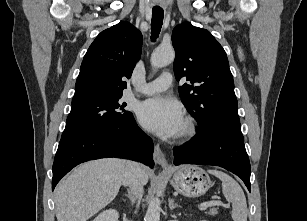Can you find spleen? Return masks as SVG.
I'll return each instance as SVG.
<instances>
[{"mask_svg":"<svg viewBox=\"0 0 307 221\" xmlns=\"http://www.w3.org/2000/svg\"><path fill=\"white\" fill-rule=\"evenodd\" d=\"M208 172L222 181L223 195L232 204L233 221H247V203L240 185L225 172L219 170H208Z\"/></svg>","mask_w":307,"mask_h":221,"instance_id":"spleen-1","label":"spleen"}]
</instances>
